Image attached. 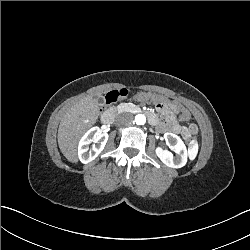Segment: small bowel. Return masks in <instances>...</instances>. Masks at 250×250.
<instances>
[{
  "label": "small bowel",
  "instance_id": "c3829d8e",
  "mask_svg": "<svg viewBox=\"0 0 250 250\" xmlns=\"http://www.w3.org/2000/svg\"><path fill=\"white\" fill-rule=\"evenodd\" d=\"M164 109L168 113L174 112L179 117V119L182 121H187L190 119V114L186 109L181 108L179 106H176L174 104L167 103V105L164 106ZM148 117H149L151 122H154L158 125L163 124V125H167L168 127L172 128L174 131H177V132L182 131V127L178 123L171 122V121H164L163 119L160 120V119H158L157 116H155L153 114L148 115ZM187 131H188V133H195L197 131V127L194 124H191L188 127Z\"/></svg>",
  "mask_w": 250,
  "mask_h": 250
}]
</instances>
